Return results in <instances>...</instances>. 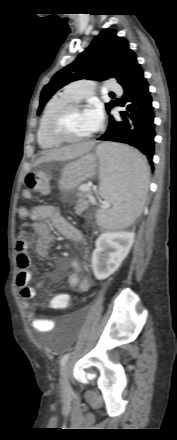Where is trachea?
I'll return each instance as SVG.
<instances>
[{"label":"trachea","mask_w":177,"mask_h":440,"mask_svg":"<svg viewBox=\"0 0 177 440\" xmlns=\"http://www.w3.org/2000/svg\"><path fill=\"white\" fill-rule=\"evenodd\" d=\"M110 95H114V93H113V92H111V93H110Z\"/></svg>","instance_id":"3493384b"}]
</instances>
